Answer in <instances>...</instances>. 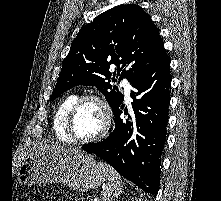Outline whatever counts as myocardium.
I'll use <instances>...</instances> for the list:
<instances>
[{
    "mask_svg": "<svg viewBox=\"0 0 221 201\" xmlns=\"http://www.w3.org/2000/svg\"><path fill=\"white\" fill-rule=\"evenodd\" d=\"M87 101H95L100 105L104 115V124L103 128L97 135L87 139H79L75 136L73 132V122L79 108ZM112 122H113V112L109 102L99 94L90 93L80 96L72 105L66 119V132L69 138L71 139V141L75 144H80V145L91 144L101 140L108 134L112 126Z\"/></svg>",
    "mask_w": 221,
    "mask_h": 201,
    "instance_id": "1",
    "label": "myocardium"
}]
</instances>
